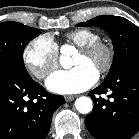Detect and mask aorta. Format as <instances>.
Wrapping results in <instances>:
<instances>
[{"instance_id":"aorta-1","label":"aorta","mask_w":139,"mask_h":139,"mask_svg":"<svg viewBox=\"0 0 139 139\" xmlns=\"http://www.w3.org/2000/svg\"><path fill=\"white\" fill-rule=\"evenodd\" d=\"M62 55L60 56V64L63 68L69 69L73 65L71 54L73 53V48L71 46L65 45L61 48ZM75 108L78 112L82 114H88L93 109V102L89 97L81 96L75 101Z\"/></svg>"}]
</instances>
